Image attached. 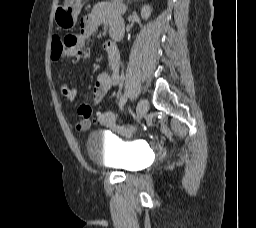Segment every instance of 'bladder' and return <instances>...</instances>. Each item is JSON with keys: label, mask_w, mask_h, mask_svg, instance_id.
Segmentation results:
<instances>
[{"label": "bladder", "mask_w": 256, "mask_h": 228, "mask_svg": "<svg viewBox=\"0 0 256 228\" xmlns=\"http://www.w3.org/2000/svg\"><path fill=\"white\" fill-rule=\"evenodd\" d=\"M86 148L91 159L125 172L143 169L148 160V152L142 145L110 139L100 131L89 133Z\"/></svg>", "instance_id": "bladder-1"}]
</instances>
